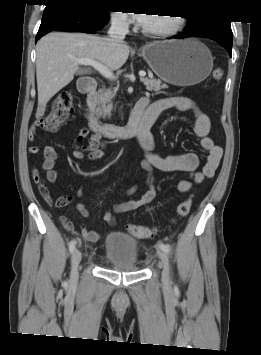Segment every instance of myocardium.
Instances as JSON below:
<instances>
[{
  "label": "myocardium",
  "mask_w": 261,
  "mask_h": 355,
  "mask_svg": "<svg viewBox=\"0 0 261 355\" xmlns=\"http://www.w3.org/2000/svg\"><path fill=\"white\" fill-rule=\"evenodd\" d=\"M175 22L174 25L168 29H161V30H148L145 28H142L141 31L143 34L149 36V37H155V38H169L174 35H176L184 25V17L176 15L174 16Z\"/></svg>",
  "instance_id": "1"
}]
</instances>
